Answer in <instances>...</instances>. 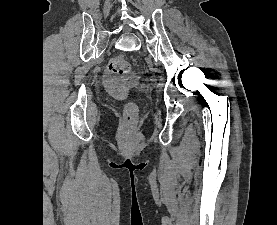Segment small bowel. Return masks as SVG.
<instances>
[{
    "mask_svg": "<svg viewBox=\"0 0 277 225\" xmlns=\"http://www.w3.org/2000/svg\"><path fill=\"white\" fill-rule=\"evenodd\" d=\"M106 85L109 87H113L116 84L115 79L111 75H107L105 77Z\"/></svg>",
    "mask_w": 277,
    "mask_h": 225,
    "instance_id": "obj_1",
    "label": "small bowel"
}]
</instances>
